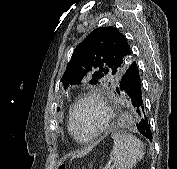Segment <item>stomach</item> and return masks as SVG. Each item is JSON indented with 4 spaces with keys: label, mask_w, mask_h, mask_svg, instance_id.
I'll list each match as a JSON object with an SVG mask.
<instances>
[{
    "label": "stomach",
    "mask_w": 177,
    "mask_h": 169,
    "mask_svg": "<svg viewBox=\"0 0 177 169\" xmlns=\"http://www.w3.org/2000/svg\"><path fill=\"white\" fill-rule=\"evenodd\" d=\"M62 168H64V167H63V164H58L57 169H62Z\"/></svg>",
    "instance_id": "0dacf381"
}]
</instances>
